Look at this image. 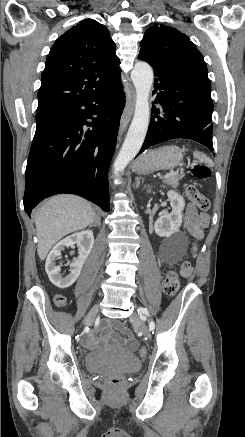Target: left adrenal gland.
<instances>
[{"label": "left adrenal gland", "instance_id": "1", "mask_svg": "<svg viewBox=\"0 0 245 437\" xmlns=\"http://www.w3.org/2000/svg\"><path fill=\"white\" fill-rule=\"evenodd\" d=\"M135 181H136V188H138V187H139V184H140V178H139V177H136V178H135Z\"/></svg>", "mask_w": 245, "mask_h": 437}]
</instances>
